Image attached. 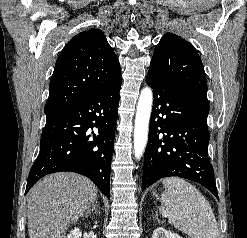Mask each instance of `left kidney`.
I'll return each mask as SVG.
<instances>
[{"instance_id": "left-kidney-1", "label": "left kidney", "mask_w": 247, "mask_h": 238, "mask_svg": "<svg viewBox=\"0 0 247 238\" xmlns=\"http://www.w3.org/2000/svg\"><path fill=\"white\" fill-rule=\"evenodd\" d=\"M152 238H182L178 234L167 231L162 227H158L153 232Z\"/></svg>"}]
</instances>
